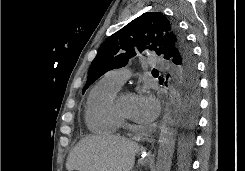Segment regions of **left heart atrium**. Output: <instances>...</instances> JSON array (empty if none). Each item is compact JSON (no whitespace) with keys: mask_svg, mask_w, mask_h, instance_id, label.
<instances>
[{"mask_svg":"<svg viewBox=\"0 0 245 171\" xmlns=\"http://www.w3.org/2000/svg\"><path fill=\"white\" fill-rule=\"evenodd\" d=\"M159 103L150 92H143L134 96L132 118L140 123H149L156 118Z\"/></svg>","mask_w":245,"mask_h":171,"instance_id":"39dd6f15","label":"left heart atrium"}]
</instances>
